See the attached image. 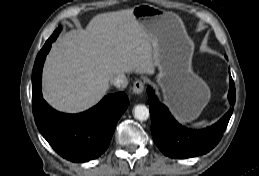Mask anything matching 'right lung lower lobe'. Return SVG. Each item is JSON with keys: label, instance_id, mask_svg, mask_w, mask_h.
<instances>
[{"label": "right lung lower lobe", "instance_id": "obj_1", "mask_svg": "<svg viewBox=\"0 0 259 176\" xmlns=\"http://www.w3.org/2000/svg\"><path fill=\"white\" fill-rule=\"evenodd\" d=\"M58 35L59 32L52 34L34 63L33 115L40 133L59 155L69 161L86 162L107 149L129 100L124 92H120L105 96L96 106L79 114H64L51 108L42 97L41 76L46 55Z\"/></svg>", "mask_w": 259, "mask_h": 176}]
</instances>
